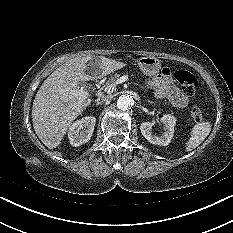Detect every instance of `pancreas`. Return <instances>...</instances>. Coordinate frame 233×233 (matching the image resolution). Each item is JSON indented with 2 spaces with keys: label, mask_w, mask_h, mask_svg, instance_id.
Instances as JSON below:
<instances>
[{
  "label": "pancreas",
  "mask_w": 233,
  "mask_h": 233,
  "mask_svg": "<svg viewBox=\"0 0 233 233\" xmlns=\"http://www.w3.org/2000/svg\"><path fill=\"white\" fill-rule=\"evenodd\" d=\"M117 79H118V75H117V74L112 75V76L108 79V81L106 82L105 87L108 86V85H110V84H114V83L117 81Z\"/></svg>",
  "instance_id": "obj_1"
}]
</instances>
